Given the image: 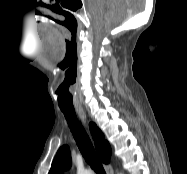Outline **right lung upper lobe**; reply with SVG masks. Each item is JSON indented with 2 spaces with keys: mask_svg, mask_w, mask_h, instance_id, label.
<instances>
[{
  "mask_svg": "<svg viewBox=\"0 0 187 174\" xmlns=\"http://www.w3.org/2000/svg\"><path fill=\"white\" fill-rule=\"evenodd\" d=\"M90 128L93 138L96 140L95 147L99 157L104 163H108L111 155L109 144L104 141V135L94 123H90Z\"/></svg>",
  "mask_w": 187,
  "mask_h": 174,
  "instance_id": "right-lung-upper-lobe-1",
  "label": "right lung upper lobe"
}]
</instances>
